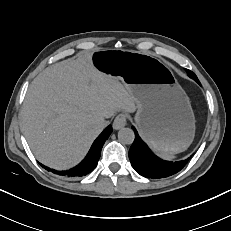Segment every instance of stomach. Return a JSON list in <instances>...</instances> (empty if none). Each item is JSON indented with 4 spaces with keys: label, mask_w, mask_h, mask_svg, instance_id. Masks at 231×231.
Masks as SVG:
<instances>
[{
    "label": "stomach",
    "mask_w": 231,
    "mask_h": 231,
    "mask_svg": "<svg viewBox=\"0 0 231 231\" xmlns=\"http://www.w3.org/2000/svg\"><path fill=\"white\" fill-rule=\"evenodd\" d=\"M92 65L119 78L136 99L135 123L145 141L165 154L186 150L195 135L188 96L172 71L154 56L131 50L92 53Z\"/></svg>",
    "instance_id": "0dacf381"
}]
</instances>
